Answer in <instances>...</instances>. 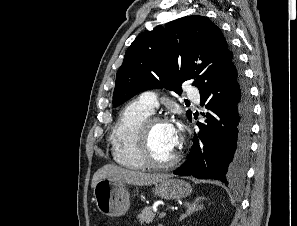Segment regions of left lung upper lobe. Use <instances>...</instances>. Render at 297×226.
Masks as SVG:
<instances>
[{
    "instance_id": "obj_1",
    "label": "left lung upper lobe",
    "mask_w": 297,
    "mask_h": 226,
    "mask_svg": "<svg viewBox=\"0 0 297 226\" xmlns=\"http://www.w3.org/2000/svg\"><path fill=\"white\" fill-rule=\"evenodd\" d=\"M240 74L235 55L220 29L207 17L186 16L146 31L132 42L116 75L113 106L140 91L166 88L181 93V83H227ZM189 120L192 112L187 111Z\"/></svg>"
}]
</instances>
